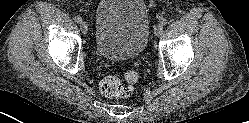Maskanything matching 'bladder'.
<instances>
[{
  "mask_svg": "<svg viewBox=\"0 0 249 123\" xmlns=\"http://www.w3.org/2000/svg\"><path fill=\"white\" fill-rule=\"evenodd\" d=\"M150 20L143 0H103L96 11L95 48L107 59L139 56L145 49Z\"/></svg>",
  "mask_w": 249,
  "mask_h": 123,
  "instance_id": "bladder-1",
  "label": "bladder"
}]
</instances>
